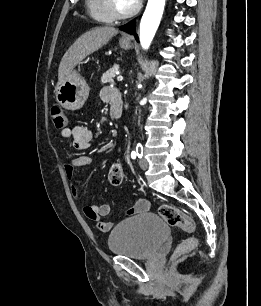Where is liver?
I'll use <instances>...</instances> for the list:
<instances>
[{
  "instance_id": "obj_1",
  "label": "liver",
  "mask_w": 261,
  "mask_h": 306,
  "mask_svg": "<svg viewBox=\"0 0 261 306\" xmlns=\"http://www.w3.org/2000/svg\"><path fill=\"white\" fill-rule=\"evenodd\" d=\"M114 27H96L81 35L64 54L58 69V81L67 79L75 66L85 57L100 49L115 35Z\"/></svg>"
}]
</instances>
